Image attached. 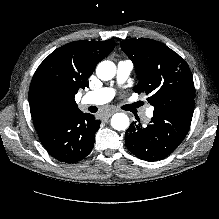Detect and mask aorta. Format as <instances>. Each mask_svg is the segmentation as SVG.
<instances>
[{
  "label": "aorta",
  "instance_id": "obj_1",
  "mask_svg": "<svg viewBox=\"0 0 219 219\" xmlns=\"http://www.w3.org/2000/svg\"><path fill=\"white\" fill-rule=\"evenodd\" d=\"M116 74V66L112 61H101L96 68V75L103 81L114 78ZM130 125L129 118L125 113H116L111 118V126L113 129L123 131L128 129Z\"/></svg>",
  "mask_w": 219,
  "mask_h": 219
}]
</instances>
